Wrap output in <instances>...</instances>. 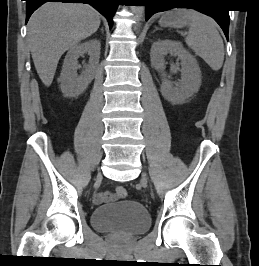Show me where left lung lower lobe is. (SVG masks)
<instances>
[{
  "mask_svg": "<svg viewBox=\"0 0 259 266\" xmlns=\"http://www.w3.org/2000/svg\"><path fill=\"white\" fill-rule=\"evenodd\" d=\"M140 2L145 6L146 20L154 13L162 12L170 8L184 7L181 5L198 6L195 9L213 17L228 38L229 11L223 8H214L210 5L217 2V0H195L193 2H187L186 0H140Z\"/></svg>",
  "mask_w": 259,
  "mask_h": 266,
  "instance_id": "0a47b994",
  "label": "left lung lower lobe"
}]
</instances>
